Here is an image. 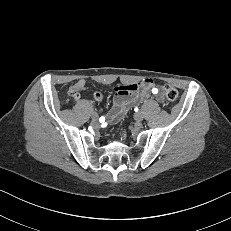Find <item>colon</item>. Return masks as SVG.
I'll list each match as a JSON object with an SVG mask.
<instances>
[{"label": "colon", "instance_id": "colon-1", "mask_svg": "<svg viewBox=\"0 0 231 231\" xmlns=\"http://www.w3.org/2000/svg\"><path fill=\"white\" fill-rule=\"evenodd\" d=\"M164 94L169 101H175L178 98V91L169 85L164 87ZM66 96L69 100H77L79 98L78 92L72 89L66 91Z\"/></svg>", "mask_w": 231, "mask_h": 231}]
</instances>
